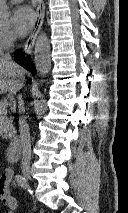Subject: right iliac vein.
I'll list each match as a JSON object with an SVG mask.
<instances>
[{
	"instance_id": "63e3f726",
	"label": "right iliac vein",
	"mask_w": 128,
	"mask_h": 213,
	"mask_svg": "<svg viewBox=\"0 0 128 213\" xmlns=\"http://www.w3.org/2000/svg\"><path fill=\"white\" fill-rule=\"evenodd\" d=\"M22 174L27 180H29L30 179V168L27 166H24L22 168Z\"/></svg>"
}]
</instances>
